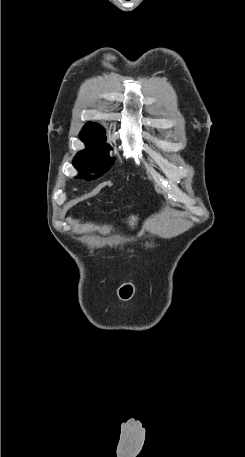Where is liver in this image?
Listing matches in <instances>:
<instances>
[{"mask_svg":"<svg viewBox=\"0 0 245 457\" xmlns=\"http://www.w3.org/2000/svg\"><path fill=\"white\" fill-rule=\"evenodd\" d=\"M135 220H137L136 216H131L130 224H135Z\"/></svg>","mask_w":245,"mask_h":457,"instance_id":"liver-1","label":"liver"}]
</instances>
